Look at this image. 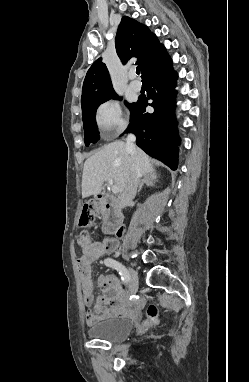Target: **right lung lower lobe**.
Masks as SVG:
<instances>
[{"label":"right lung lower lobe","instance_id":"98d812e1","mask_svg":"<svg viewBox=\"0 0 249 382\" xmlns=\"http://www.w3.org/2000/svg\"><path fill=\"white\" fill-rule=\"evenodd\" d=\"M145 75L150 91L135 103L126 132L136 135V144L148 155L175 170L180 142L174 116L177 74L165 54L148 67ZM148 99L153 102L148 104ZM148 105L154 108L153 113L146 112Z\"/></svg>","mask_w":249,"mask_h":382}]
</instances>
